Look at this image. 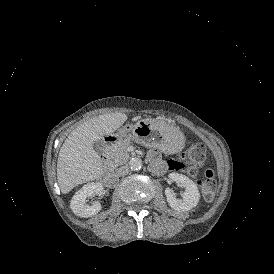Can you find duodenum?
I'll return each mask as SVG.
<instances>
[{
  "label": "duodenum",
  "mask_w": 274,
  "mask_h": 274,
  "mask_svg": "<svg viewBox=\"0 0 274 274\" xmlns=\"http://www.w3.org/2000/svg\"><path fill=\"white\" fill-rule=\"evenodd\" d=\"M117 140L118 139L114 136L107 137L105 139V149H107L110 145L115 143ZM101 160L104 165L105 178L107 180L113 179L115 177V172H114L112 166L110 165V163L108 162L107 155L105 153L101 155ZM155 169L157 171H162L164 169V167L162 165H157V166H155Z\"/></svg>",
  "instance_id": "410a0bca"
}]
</instances>
